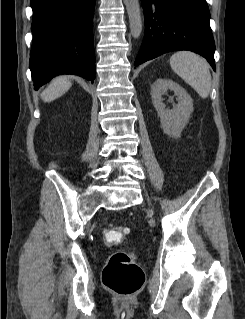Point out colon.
<instances>
[{"label": "colon", "mask_w": 245, "mask_h": 319, "mask_svg": "<svg viewBox=\"0 0 245 319\" xmlns=\"http://www.w3.org/2000/svg\"><path fill=\"white\" fill-rule=\"evenodd\" d=\"M128 231L126 227L111 224L103 230V237L108 244L114 245L122 242ZM144 281L145 274L135 263L132 254L117 252L108 258L103 270L102 282L117 295L131 298L141 289Z\"/></svg>", "instance_id": "1"}]
</instances>
